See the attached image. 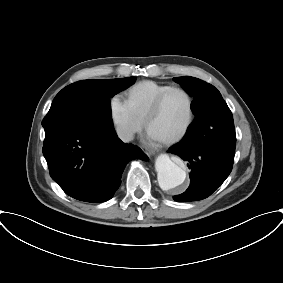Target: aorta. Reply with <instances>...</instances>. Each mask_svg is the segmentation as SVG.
<instances>
[{
  "label": "aorta",
  "instance_id": "obj_1",
  "mask_svg": "<svg viewBox=\"0 0 283 283\" xmlns=\"http://www.w3.org/2000/svg\"><path fill=\"white\" fill-rule=\"evenodd\" d=\"M155 170L159 186L165 191L179 187L186 179L185 170L165 154L156 158Z\"/></svg>",
  "mask_w": 283,
  "mask_h": 283
}]
</instances>
